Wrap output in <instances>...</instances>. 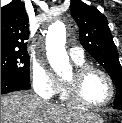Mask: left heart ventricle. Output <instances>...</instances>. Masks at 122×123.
I'll return each mask as SVG.
<instances>
[{
    "label": "left heart ventricle",
    "mask_w": 122,
    "mask_h": 123,
    "mask_svg": "<svg viewBox=\"0 0 122 123\" xmlns=\"http://www.w3.org/2000/svg\"><path fill=\"white\" fill-rule=\"evenodd\" d=\"M72 77L69 74L66 79ZM80 93L82 97L91 103H101L105 101L109 94L110 88L106 79L97 72L89 73L82 82Z\"/></svg>",
    "instance_id": "b2bd125f"
}]
</instances>
